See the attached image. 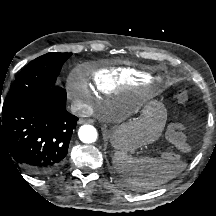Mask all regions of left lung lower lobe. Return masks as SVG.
<instances>
[{
    "label": "left lung lower lobe",
    "instance_id": "obj_1",
    "mask_svg": "<svg viewBox=\"0 0 216 216\" xmlns=\"http://www.w3.org/2000/svg\"><path fill=\"white\" fill-rule=\"evenodd\" d=\"M122 183H125V184H127L126 182H124V180L122 179Z\"/></svg>",
    "mask_w": 216,
    "mask_h": 216
}]
</instances>
